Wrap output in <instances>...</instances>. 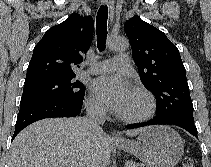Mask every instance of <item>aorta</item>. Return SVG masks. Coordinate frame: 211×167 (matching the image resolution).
<instances>
[{"mask_svg": "<svg viewBox=\"0 0 211 167\" xmlns=\"http://www.w3.org/2000/svg\"><path fill=\"white\" fill-rule=\"evenodd\" d=\"M129 47V42L125 37L115 36L108 41V48L111 51H125Z\"/></svg>", "mask_w": 211, "mask_h": 167, "instance_id": "762f6f07", "label": "aorta"}]
</instances>
